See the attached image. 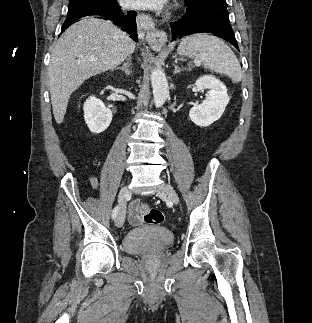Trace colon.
<instances>
[{
    "mask_svg": "<svg viewBox=\"0 0 312 323\" xmlns=\"http://www.w3.org/2000/svg\"><path fill=\"white\" fill-rule=\"evenodd\" d=\"M139 211L143 215L144 222L152 225H160L163 223L164 215L160 209L150 207L147 204L139 206Z\"/></svg>",
    "mask_w": 312,
    "mask_h": 323,
    "instance_id": "1",
    "label": "colon"
}]
</instances>
